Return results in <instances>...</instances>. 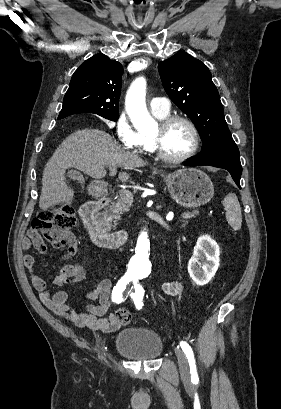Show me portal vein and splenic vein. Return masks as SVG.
<instances>
[{
  "mask_svg": "<svg viewBox=\"0 0 281 409\" xmlns=\"http://www.w3.org/2000/svg\"><path fill=\"white\" fill-rule=\"evenodd\" d=\"M110 170H112V172H110L111 176H114V174H115V172H114L115 168H110ZM122 194H123L124 196H126V197L124 198L125 205H126L127 207H130V206L132 205V197H131V196H127V195L129 194V191H128L127 189H124V190L122 191ZM173 214H174V213H173ZM182 216L184 217V219H191V217L193 216V213H192V212H189V213L183 212V213H182ZM172 219H173V218H172ZM172 219H171V220H172Z\"/></svg>",
  "mask_w": 281,
  "mask_h": 409,
  "instance_id": "obj_1",
  "label": "portal vein and splenic vein"
}]
</instances>
